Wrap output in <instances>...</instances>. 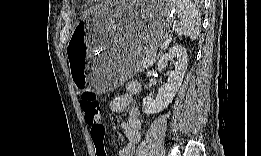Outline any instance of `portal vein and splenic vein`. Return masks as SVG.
<instances>
[{"instance_id":"1","label":"portal vein and splenic vein","mask_w":261,"mask_h":156,"mask_svg":"<svg viewBox=\"0 0 261 156\" xmlns=\"http://www.w3.org/2000/svg\"><path fill=\"white\" fill-rule=\"evenodd\" d=\"M167 46H168V42L165 41V42L161 45V49H164V48H166Z\"/></svg>"}]
</instances>
